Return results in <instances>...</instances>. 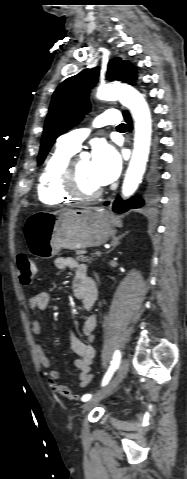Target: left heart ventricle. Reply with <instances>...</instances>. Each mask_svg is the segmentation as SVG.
<instances>
[{
	"label": "left heart ventricle",
	"instance_id": "left-heart-ventricle-1",
	"mask_svg": "<svg viewBox=\"0 0 187 479\" xmlns=\"http://www.w3.org/2000/svg\"><path fill=\"white\" fill-rule=\"evenodd\" d=\"M78 178L83 191L90 193L101 186L93 178L91 161L89 159H78Z\"/></svg>",
	"mask_w": 187,
	"mask_h": 479
}]
</instances>
